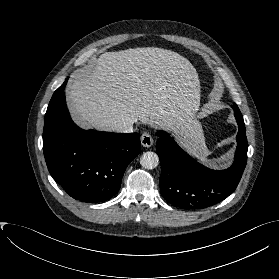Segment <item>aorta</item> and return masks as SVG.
Masks as SVG:
<instances>
[{"mask_svg": "<svg viewBox=\"0 0 279 279\" xmlns=\"http://www.w3.org/2000/svg\"><path fill=\"white\" fill-rule=\"evenodd\" d=\"M140 164L145 169H154L159 164V157L154 152L151 151L145 152L140 158Z\"/></svg>", "mask_w": 279, "mask_h": 279, "instance_id": "obj_1", "label": "aorta"}]
</instances>
